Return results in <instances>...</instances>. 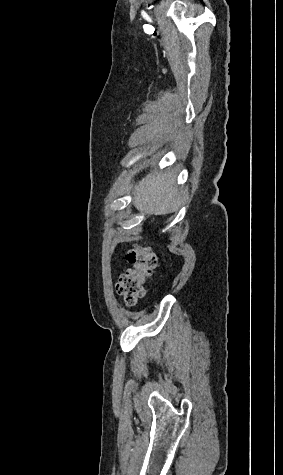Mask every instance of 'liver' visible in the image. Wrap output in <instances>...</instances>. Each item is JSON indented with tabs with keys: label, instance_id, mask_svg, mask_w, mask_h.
<instances>
[{
	"label": "liver",
	"instance_id": "obj_1",
	"mask_svg": "<svg viewBox=\"0 0 283 475\" xmlns=\"http://www.w3.org/2000/svg\"><path fill=\"white\" fill-rule=\"evenodd\" d=\"M133 204L142 214H172L180 204L175 176L169 172L149 174L135 186Z\"/></svg>",
	"mask_w": 283,
	"mask_h": 475
}]
</instances>
